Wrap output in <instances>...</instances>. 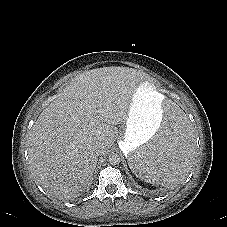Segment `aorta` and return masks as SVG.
I'll return each instance as SVG.
<instances>
[{"instance_id":"obj_1","label":"aorta","mask_w":227,"mask_h":227,"mask_svg":"<svg viewBox=\"0 0 227 227\" xmlns=\"http://www.w3.org/2000/svg\"><path fill=\"white\" fill-rule=\"evenodd\" d=\"M108 161L111 165H117L120 163V156L117 153H111L109 155Z\"/></svg>"}]
</instances>
